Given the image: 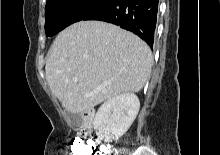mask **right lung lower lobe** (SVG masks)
<instances>
[{"label": "right lung lower lobe", "instance_id": "1", "mask_svg": "<svg viewBox=\"0 0 220 155\" xmlns=\"http://www.w3.org/2000/svg\"><path fill=\"white\" fill-rule=\"evenodd\" d=\"M158 0H114L84 20H100L119 25L153 45Z\"/></svg>", "mask_w": 220, "mask_h": 155}]
</instances>
